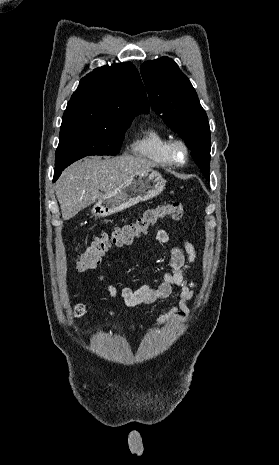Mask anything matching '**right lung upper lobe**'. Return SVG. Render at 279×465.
Here are the masks:
<instances>
[{
	"mask_svg": "<svg viewBox=\"0 0 279 465\" xmlns=\"http://www.w3.org/2000/svg\"><path fill=\"white\" fill-rule=\"evenodd\" d=\"M148 111L145 90L133 64L106 65L81 79L67 104L61 128L102 125L117 114L136 116Z\"/></svg>",
	"mask_w": 279,
	"mask_h": 465,
	"instance_id": "right-lung-upper-lobe-1",
	"label": "right lung upper lobe"
}]
</instances>
